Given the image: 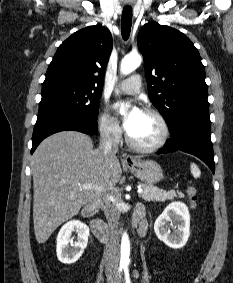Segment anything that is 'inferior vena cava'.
Instances as JSON below:
<instances>
[{"instance_id": "1", "label": "inferior vena cava", "mask_w": 233, "mask_h": 283, "mask_svg": "<svg viewBox=\"0 0 233 283\" xmlns=\"http://www.w3.org/2000/svg\"><path fill=\"white\" fill-rule=\"evenodd\" d=\"M99 149L105 156L115 155L118 152V143L111 138V130L106 129L101 133ZM114 197L107 196L105 200L104 213L108 221L110 236L105 257L106 270L117 269L119 265V212L112 204Z\"/></svg>"}]
</instances>
